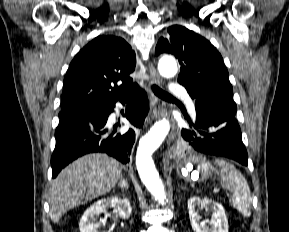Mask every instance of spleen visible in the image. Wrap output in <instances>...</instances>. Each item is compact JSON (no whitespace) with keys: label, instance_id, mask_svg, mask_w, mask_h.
<instances>
[{"label":"spleen","instance_id":"3e777b00","mask_svg":"<svg viewBox=\"0 0 289 232\" xmlns=\"http://www.w3.org/2000/svg\"><path fill=\"white\" fill-rule=\"evenodd\" d=\"M214 163L221 167V181L223 187L231 193L230 203L244 217L250 216L252 197L245 177L232 164L222 159H216ZM199 169L203 170L204 166H199Z\"/></svg>","mask_w":289,"mask_h":232}]
</instances>
